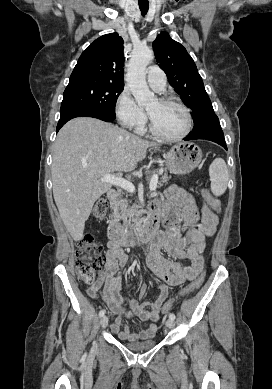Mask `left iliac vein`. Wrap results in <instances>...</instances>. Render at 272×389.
I'll return each instance as SVG.
<instances>
[{"instance_id": "left-iliac-vein-1", "label": "left iliac vein", "mask_w": 272, "mask_h": 389, "mask_svg": "<svg viewBox=\"0 0 272 389\" xmlns=\"http://www.w3.org/2000/svg\"><path fill=\"white\" fill-rule=\"evenodd\" d=\"M166 326H167V328H173L174 327V321L172 320V319H168L167 321H166Z\"/></svg>"}]
</instances>
